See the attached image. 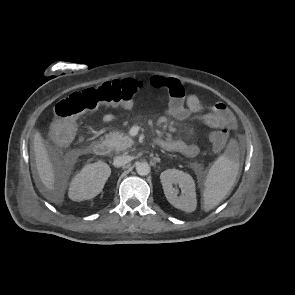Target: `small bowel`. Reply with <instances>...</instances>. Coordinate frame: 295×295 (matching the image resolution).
Masks as SVG:
<instances>
[{"mask_svg": "<svg viewBox=\"0 0 295 295\" xmlns=\"http://www.w3.org/2000/svg\"><path fill=\"white\" fill-rule=\"evenodd\" d=\"M149 85L153 88H165L168 90L170 100L166 110V117L176 120H185L193 113H199L204 110V104L201 99L194 94L186 95L181 82L174 78L162 76H152L149 79ZM134 102L120 107L123 111L131 110ZM115 119V114L109 113L103 117L105 123ZM206 125L212 128H234L236 120L230 109L221 102L215 103L209 107V111L202 116ZM191 132L186 139H158V145L171 152H179L187 156H195L199 152V147L191 140Z\"/></svg>", "mask_w": 295, "mask_h": 295, "instance_id": "c3829d8e", "label": "small bowel"}]
</instances>
